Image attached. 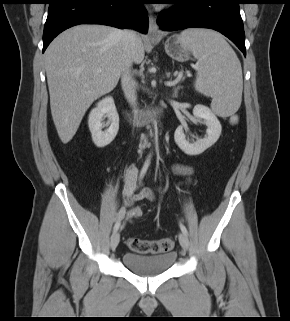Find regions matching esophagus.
I'll use <instances>...</instances> for the list:
<instances>
[{
  "label": "esophagus",
  "mask_w": 290,
  "mask_h": 321,
  "mask_svg": "<svg viewBox=\"0 0 290 321\" xmlns=\"http://www.w3.org/2000/svg\"><path fill=\"white\" fill-rule=\"evenodd\" d=\"M149 40H156L160 37V31L157 25L156 16L149 12V28L146 36Z\"/></svg>",
  "instance_id": "obj_1"
}]
</instances>
